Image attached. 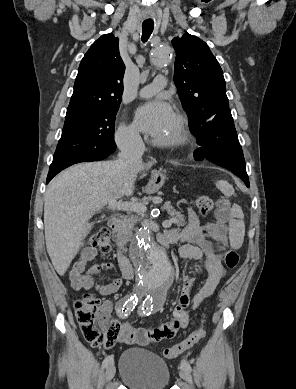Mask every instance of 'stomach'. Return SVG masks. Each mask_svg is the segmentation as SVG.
Masks as SVG:
<instances>
[{
  "label": "stomach",
  "instance_id": "stomach-1",
  "mask_svg": "<svg viewBox=\"0 0 296 389\" xmlns=\"http://www.w3.org/2000/svg\"><path fill=\"white\" fill-rule=\"evenodd\" d=\"M153 179H151L147 186L148 192H153L159 189L160 186L166 182L167 172L163 168H156L152 173Z\"/></svg>",
  "mask_w": 296,
  "mask_h": 389
}]
</instances>
